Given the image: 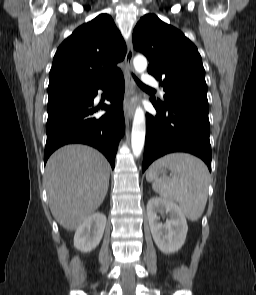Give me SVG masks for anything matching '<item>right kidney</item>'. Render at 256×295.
<instances>
[{
  "mask_svg": "<svg viewBox=\"0 0 256 295\" xmlns=\"http://www.w3.org/2000/svg\"><path fill=\"white\" fill-rule=\"evenodd\" d=\"M106 226V216L97 212L87 218L76 230L74 247L82 252H90L100 243Z\"/></svg>",
  "mask_w": 256,
  "mask_h": 295,
  "instance_id": "right-kidney-1",
  "label": "right kidney"
}]
</instances>
